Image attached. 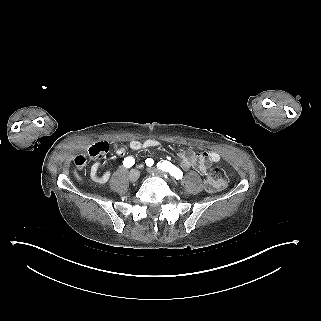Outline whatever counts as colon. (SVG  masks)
I'll return each instance as SVG.
<instances>
[{
	"instance_id": "colon-1",
	"label": "colon",
	"mask_w": 321,
	"mask_h": 321,
	"mask_svg": "<svg viewBox=\"0 0 321 321\" xmlns=\"http://www.w3.org/2000/svg\"><path fill=\"white\" fill-rule=\"evenodd\" d=\"M83 163H84L83 159L80 158L76 164L79 167H81L83 166ZM226 183H227L226 172L222 167L216 166L210 171V173L206 177L205 187L208 191L212 192V191L222 189L223 187H225Z\"/></svg>"
}]
</instances>
